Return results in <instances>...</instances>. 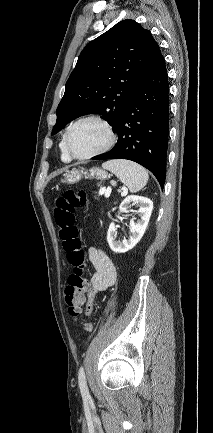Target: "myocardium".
Wrapping results in <instances>:
<instances>
[{
    "label": "myocardium",
    "mask_w": 213,
    "mask_h": 433,
    "mask_svg": "<svg viewBox=\"0 0 213 433\" xmlns=\"http://www.w3.org/2000/svg\"><path fill=\"white\" fill-rule=\"evenodd\" d=\"M86 121H93L96 122L97 124H99L100 126H102L104 128V130L106 131L107 134V141L106 143L97 151L90 153L88 155H84V156H79L76 155L70 146V136L72 131L75 129L76 126H78L79 124L86 122ZM64 142H65V148L66 151L68 153V155L76 160H87V159H91L93 157H96L98 155H101L105 152H107L109 149L112 148V146L115 144L116 142V134L112 128V126L102 117L98 116V115H87L84 117H81L79 119H77L66 131L65 133V138H64Z\"/></svg>",
    "instance_id": "obj_1"
}]
</instances>
